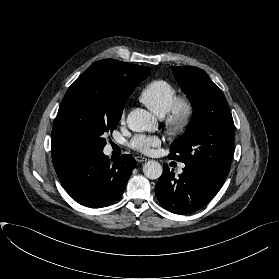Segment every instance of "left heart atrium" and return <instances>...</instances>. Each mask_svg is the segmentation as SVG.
<instances>
[{
  "mask_svg": "<svg viewBox=\"0 0 279 279\" xmlns=\"http://www.w3.org/2000/svg\"><path fill=\"white\" fill-rule=\"evenodd\" d=\"M161 140L157 136L139 134L132 138L130 141L131 148L148 154L152 152V149L158 147Z\"/></svg>",
  "mask_w": 279,
  "mask_h": 279,
  "instance_id": "left-heart-atrium-1",
  "label": "left heart atrium"
}]
</instances>
